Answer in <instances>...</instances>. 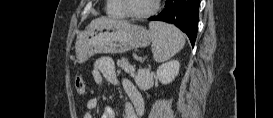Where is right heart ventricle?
Listing matches in <instances>:
<instances>
[{
  "label": "right heart ventricle",
  "mask_w": 273,
  "mask_h": 118,
  "mask_svg": "<svg viewBox=\"0 0 273 118\" xmlns=\"http://www.w3.org/2000/svg\"><path fill=\"white\" fill-rule=\"evenodd\" d=\"M105 11L107 14L116 17H122L126 15L122 7L121 0H107Z\"/></svg>",
  "instance_id": "1"
}]
</instances>
